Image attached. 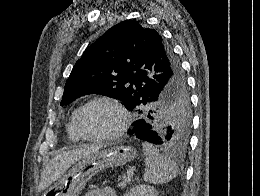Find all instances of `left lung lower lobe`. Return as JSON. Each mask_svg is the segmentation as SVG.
<instances>
[{
    "label": "left lung lower lobe",
    "mask_w": 260,
    "mask_h": 196,
    "mask_svg": "<svg viewBox=\"0 0 260 196\" xmlns=\"http://www.w3.org/2000/svg\"><path fill=\"white\" fill-rule=\"evenodd\" d=\"M134 127L133 129L128 131V134L131 136H135L141 140L153 143V144H160V136L159 134L154 131L151 125L143 120L140 119L132 124Z\"/></svg>",
    "instance_id": "obj_1"
}]
</instances>
